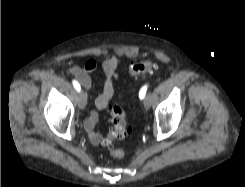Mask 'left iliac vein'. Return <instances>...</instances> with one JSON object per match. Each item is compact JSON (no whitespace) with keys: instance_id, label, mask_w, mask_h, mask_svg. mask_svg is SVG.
Returning <instances> with one entry per match:
<instances>
[{"instance_id":"4c4485c4","label":"left iliac vein","mask_w":245,"mask_h":187,"mask_svg":"<svg viewBox=\"0 0 245 187\" xmlns=\"http://www.w3.org/2000/svg\"><path fill=\"white\" fill-rule=\"evenodd\" d=\"M143 104H144V107L146 109H148L150 107V105H151V98L149 96H146V98L144 99Z\"/></svg>"}]
</instances>
